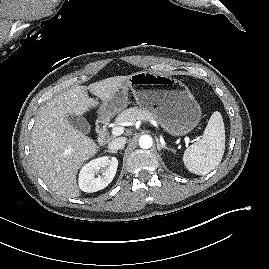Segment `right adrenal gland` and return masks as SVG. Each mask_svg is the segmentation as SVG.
Returning a JSON list of instances; mask_svg holds the SVG:
<instances>
[{
    "mask_svg": "<svg viewBox=\"0 0 269 269\" xmlns=\"http://www.w3.org/2000/svg\"><path fill=\"white\" fill-rule=\"evenodd\" d=\"M108 153H113V154H116L117 151H113V150H107Z\"/></svg>",
    "mask_w": 269,
    "mask_h": 269,
    "instance_id": "obj_1",
    "label": "right adrenal gland"
}]
</instances>
